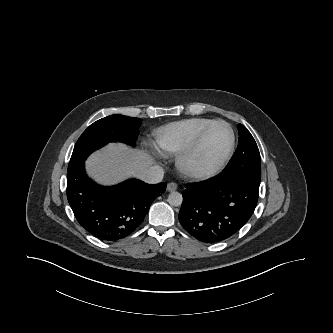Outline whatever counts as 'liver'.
Masks as SVG:
<instances>
[{"label": "liver", "instance_id": "obj_1", "mask_svg": "<svg viewBox=\"0 0 333 333\" xmlns=\"http://www.w3.org/2000/svg\"><path fill=\"white\" fill-rule=\"evenodd\" d=\"M150 164V158L144 153L112 144L103 153L92 155L87 161V168L98 181L111 184L125 175L137 176Z\"/></svg>", "mask_w": 333, "mask_h": 333}]
</instances>
